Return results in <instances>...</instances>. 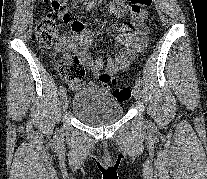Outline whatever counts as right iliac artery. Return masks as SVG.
Instances as JSON below:
<instances>
[{
  "label": "right iliac artery",
  "instance_id": "right-iliac-artery-1",
  "mask_svg": "<svg viewBox=\"0 0 207 179\" xmlns=\"http://www.w3.org/2000/svg\"><path fill=\"white\" fill-rule=\"evenodd\" d=\"M87 10H89V8H87ZM65 91H66L65 87H64L63 85L60 86V88H59V94H60V95H61V94H64Z\"/></svg>",
  "mask_w": 207,
  "mask_h": 179
}]
</instances>
